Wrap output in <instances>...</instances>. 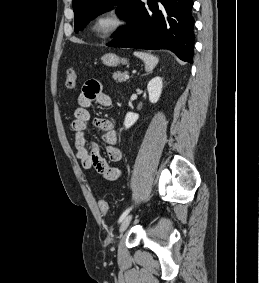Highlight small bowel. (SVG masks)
Segmentation results:
<instances>
[{"label":"small bowel","instance_id":"obj_1","mask_svg":"<svg viewBox=\"0 0 259 283\" xmlns=\"http://www.w3.org/2000/svg\"><path fill=\"white\" fill-rule=\"evenodd\" d=\"M98 103L103 107L112 105V98L102 91L100 84L95 80L87 81L78 96V107L74 111L71 128L74 133L75 157L84 169L94 168L104 179L115 181L122 175V169L109 162H119L123 157L118 147V133L112 120L107 118H92L89 107ZM92 122L95 128L102 133V141L108 161L103 158L99 146L86 138L88 124Z\"/></svg>","mask_w":259,"mask_h":283}]
</instances>
